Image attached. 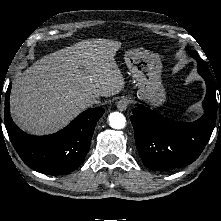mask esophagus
Returning <instances> with one entry per match:
<instances>
[{
	"label": "esophagus",
	"instance_id": "esophagus-1",
	"mask_svg": "<svg viewBox=\"0 0 221 221\" xmlns=\"http://www.w3.org/2000/svg\"><path fill=\"white\" fill-rule=\"evenodd\" d=\"M129 106V99L128 98H122L117 102V108L120 111H124Z\"/></svg>",
	"mask_w": 221,
	"mask_h": 221
}]
</instances>
